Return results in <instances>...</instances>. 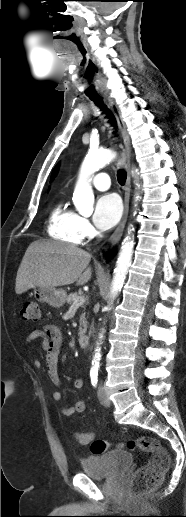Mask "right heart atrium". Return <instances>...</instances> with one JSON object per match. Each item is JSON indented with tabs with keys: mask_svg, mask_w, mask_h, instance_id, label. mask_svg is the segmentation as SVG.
Returning a JSON list of instances; mask_svg holds the SVG:
<instances>
[{
	"mask_svg": "<svg viewBox=\"0 0 186 517\" xmlns=\"http://www.w3.org/2000/svg\"><path fill=\"white\" fill-rule=\"evenodd\" d=\"M77 229L82 239H89L95 234V230L89 220L79 215L77 217Z\"/></svg>",
	"mask_w": 186,
	"mask_h": 517,
	"instance_id": "obj_1",
	"label": "right heart atrium"
}]
</instances>
